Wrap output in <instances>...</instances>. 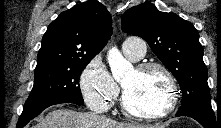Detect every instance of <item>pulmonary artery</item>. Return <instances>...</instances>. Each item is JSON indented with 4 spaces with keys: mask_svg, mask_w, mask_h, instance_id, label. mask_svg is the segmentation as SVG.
<instances>
[{
    "mask_svg": "<svg viewBox=\"0 0 221 128\" xmlns=\"http://www.w3.org/2000/svg\"><path fill=\"white\" fill-rule=\"evenodd\" d=\"M122 49L126 57L137 61L145 55L146 42L139 36H130L124 40Z\"/></svg>",
    "mask_w": 221,
    "mask_h": 128,
    "instance_id": "1",
    "label": "pulmonary artery"
}]
</instances>
